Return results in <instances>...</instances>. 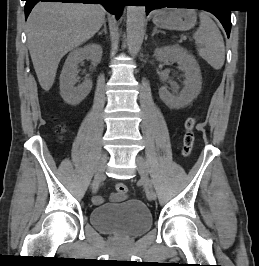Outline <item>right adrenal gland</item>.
Returning <instances> with one entry per match:
<instances>
[{"instance_id":"right-adrenal-gland-1","label":"right adrenal gland","mask_w":259,"mask_h":266,"mask_svg":"<svg viewBox=\"0 0 259 266\" xmlns=\"http://www.w3.org/2000/svg\"><path fill=\"white\" fill-rule=\"evenodd\" d=\"M103 32H104L105 34H107L106 20H104V22H103V29H102V31H100V32L98 33V35H101Z\"/></svg>"}]
</instances>
